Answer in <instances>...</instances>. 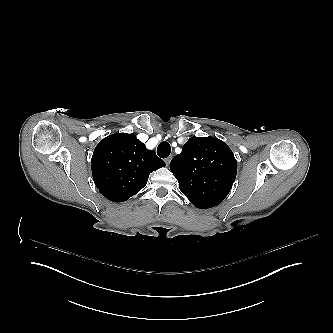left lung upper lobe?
Returning a JSON list of instances; mask_svg holds the SVG:
<instances>
[{"label":"left lung upper lobe","mask_w":333,"mask_h":333,"mask_svg":"<svg viewBox=\"0 0 333 333\" xmlns=\"http://www.w3.org/2000/svg\"><path fill=\"white\" fill-rule=\"evenodd\" d=\"M181 192L197 208L220 204L230 192L237 174L232 150L214 137H191L170 162Z\"/></svg>","instance_id":"obj_1"}]
</instances>
